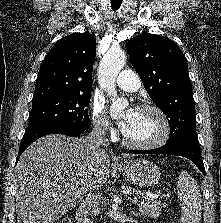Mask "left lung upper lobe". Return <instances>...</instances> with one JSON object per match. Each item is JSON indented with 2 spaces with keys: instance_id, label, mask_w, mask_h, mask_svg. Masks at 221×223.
<instances>
[{
  "instance_id": "obj_1",
  "label": "left lung upper lobe",
  "mask_w": 221,
  "mask_h": 223,
  "mask_svg": "<svg viewBox=\"0 0 221 223\" xmlns=\"http://www.w3.org/2000/svg\"><path fill=\"white\" fill-rule=\"evenodd\" d=\"M131 63L170 126L167 143L197 138L195 102L187 60L171 39L140 34L126 44Z\"/></svg>"
}]
</instances>
